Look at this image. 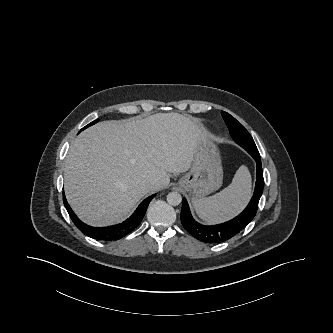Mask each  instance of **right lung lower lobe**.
I'll return each mask as SVG.
<instances>
[{
    "label": "right lung lower lobe",
    "mask_w": 333,
    "mask_h": 333,
    "mask_svg": "<svg viewBox=\"0 0 333 333\" xmlns=\"http://www.w3.org/2000/svg\"><path fill=\"white\" fill-rule=\"evenodd\" d=\"M155 195L156 194L151 195L147 197L144 201H142L138 208L135 210V212L126 221L118 225L109 227H92L86 225L74 214L64 194L63 202L73 223L83 234L97 240L112 241L123 238L124 236L132 232L141 223L147 207Z\"/></svg>",
    "instance_id": "right-lung-lower-lobe-1"
}]
</instances>
